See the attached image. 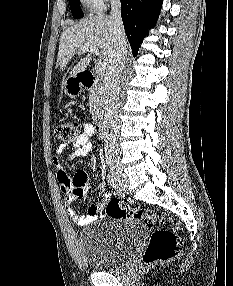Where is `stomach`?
Returning a JSON list of instances; mask_svg holds the SVG:
<instances>
[{
	"label": "stomach",
	"instance_id": "0dacf381",
	"mask_svg": "<svg viewBox=\"0 0 233 286\" xmlns=\"http://www.w3.org/2000/svg\"><path fill=\"white\" fill-rule=\"evenodd\" d=\"M64 88H65V92H66V93H70V92L68 91V89L66 88V83H65Z\"/></svg>",
	"mask_w": 233,
	"mask_h": 286
}]
</instances>
